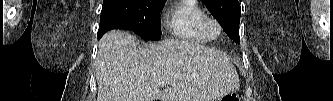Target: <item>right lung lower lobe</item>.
<instances>
[{
    "instance_id": "right-lung-lower-lobe-1",
    "label": "right lung lower lobe",
    "mask_w": 333,
    "mask_h": 101,
    "mask_svg": "<svg viewBox=\"0 0 333 101\" xmlns=\"http://www.w3.org/2000/svg\"><path fill=\"white\" fill-rule=\"evenodd\" d=\"M125 26L124 20L115 11L102 9L97 35L98 39L109 30L123 29Z\"/></svg>"
}]
</instances>
